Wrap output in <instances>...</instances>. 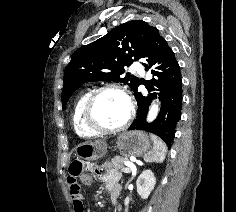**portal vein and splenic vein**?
Masks as SVG:
<instances>
[{
	"label": "portal vein and splenic vein",
	"mask_w": 236,
	"mask_h": 212,
	"mask_svg": "<svg viewBox=\"0 0 236 212\" xmlns=\"http://www.w3.org/2000/svg\"><path fill=\"white\" fill-rule=\"evenodd\" d=\"M125 166H126V167L123 169V172H124V173H129L130 170L133 168L132 163H125Z\"/></svg>",
	"instance_id": "portal-vein-and-splenic-vein-1"
}]
</instances>
